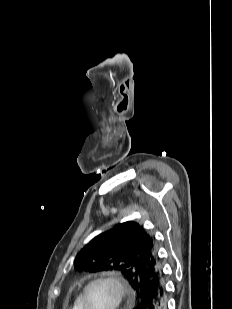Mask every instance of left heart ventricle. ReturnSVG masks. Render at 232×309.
<instances>
[{"label": "left heart ventricle", "mask_w": 232, "mask_h": 309, "mask_svg": "<svg viewBox=\"0 0 232 309\" xmlns=\"http://www.w3.org/2000/svg\"><path fill=\"white\" fill-rule=\"evenodd\" d=\"M116 303V291L107 283L92 285L87 294L88 309H112Z\"/></svg>", "instance_id": "left-heart-ventricle-1"}]
</instances>
